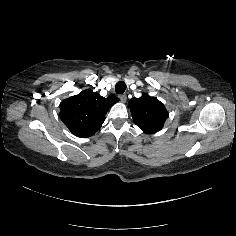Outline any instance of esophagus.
Returning <instances> with one entry per match:
<instances>
[{
	"mask_svg": "<svg viewBox=\"0 0 236 236\" xmlns=\"http://www.w3.org/2000/svg\"><path fill=\"white\" fill-rule=\"evenodd\" d=\"M119 98H120L121 102H126V100H127V96H126L125 93L124 94H120Z\"/></svg>",
	"mask_w": 236,
	"mask_h": 236,
	"instance_id": "esophagus-1",
	"label": "esophagus"
}]
</instances>
